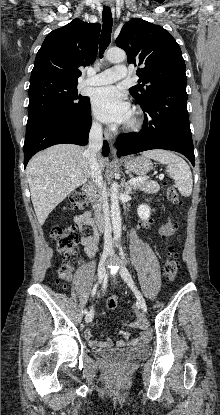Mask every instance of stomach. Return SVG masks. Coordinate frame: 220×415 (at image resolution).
I'll return each instance as SVG.
<instances>
[{"label": "stomach", "mask_w": 220, "mask_h": 415, "mask_svg": "<svg viewBox=\"0 0 220 415\" xmlns=\"http://www.w3.org/2000/svg\"><path fill=\"white\" fill-rule=\"evenodd\" d=\"M125 167L137 175H145L152 169V163L145 157H135L125 161Z\"/></svg>", "instance_id": "stomach-1"}]
</instances>
